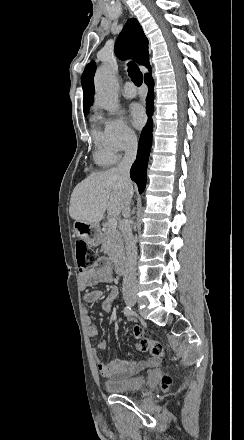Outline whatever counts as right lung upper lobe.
<instances>
[{
  "instance_id": "cb5924a9",
  "label": "right lung upper lobe",
  "mask_w": 244,
  "mask_h": 440,
  "mask_svg": "<svg viewBox=\"0 0 244 440\" xmlns=\"http://www.w3.org/2000/svg\"><path fill=\"white\" fill-rule=\"evenodd\" d=\"M115 53L122 60L131 57L140 65L150 69L148 39L136 19H130L125 24L116 41ZM95 69V63L92 61L86 66L82 75L84 112L89 111L94 100Z\"/></svg>"
}]
</instances>
